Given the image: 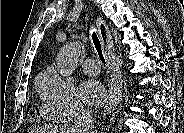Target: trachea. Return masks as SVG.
Instances as JSON below:
<instances>
[{"label":"trachea","mask_w":184,"mask_h":133,"mask_svg":"<svg viewBox=\"0 0 184 133\" xmlns=\"http://www.w3.org/2000/svg\"><path fill=\"white\" fill-rule=\"evenodd\" d=\"M92 40H93V43H94V46L96 48V51L98 53V56H99V59L102 63H105V58L103 56V49H102V45H101V42L99 40V38L97 37L96 33L94 32L92 34Z\"/></svg>","instance_id":"trachea-1"}]
</instances>
